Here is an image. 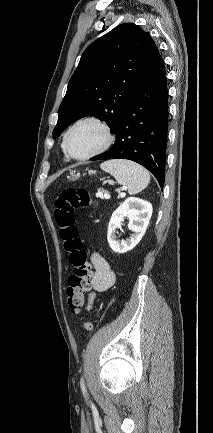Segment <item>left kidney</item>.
<instances>
[{"label":"left kidney","instance_id":"obj_1","mask_svg":"<svg viewBox=\"0 0 213 433\" xmlns=\"http://www.w3.org/2000/svg\"><path fill=\"white\" fill-rule=\"evenodd\" d=\"M152 205L140 198H127L112 214L107 233L111 249L116 253L132 250L144 236L152 216ZM124 216L129 218L128 228L133 232L129 239L117 241L115 231L121 227Z\"/></svg>","mask_w":213,"mask_h":433}]
</instances>
